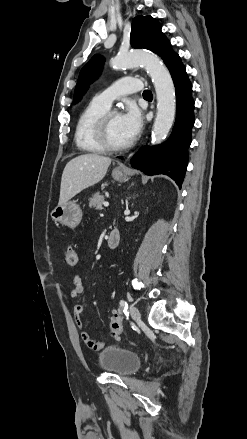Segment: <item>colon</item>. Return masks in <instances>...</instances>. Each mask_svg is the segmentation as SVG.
<instances>
[{"instance_id": "5ec220e1", "label": "colon", "mask_w": 247, "mask_h": 439, "mask_svg": "<svg viewBox=\"0 0 247 439\" xmlns=\"http://www.w3.org/2000/svg\"><path fill=\"white\" fill-rule=\"evenodd\" d=\"M65 259L68 265L75 266L78 263L77 252L74 248H68L65 253ZM122 331V319L117 312H114L110 319L111 335L119 336Z\"/></svg>"}]
</instances>
